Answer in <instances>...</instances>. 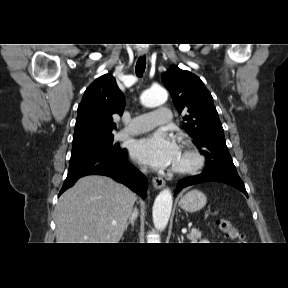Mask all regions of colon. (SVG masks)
I'll return each instance as SVG.
<instances>
[{
    "label": "colon",
    "mask_w": 288,
    "mask_h": 288,
    "mask_svg": "<svg viewBox=\"0 0 288 288\" xmlns=\"http://www.w3.org/2000/svg\"><path fill=\"white\" fill-rule=\"evenodd\" d=\"M218 228L230 240H241L244 235L227 219H220L217 221Z\"/></svg>",
    "instance_id": "5ec220e1"
}]
</instances>
